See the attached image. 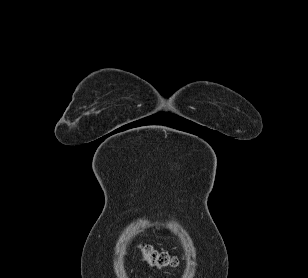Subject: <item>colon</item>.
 <instances>
[{"label": "colon", "mask_w": 308, "mask_h": 278, "mask_svg": "<svg viewBox=\"0 0 308 278\" xmlns=\"http://www.w3.org/2000/svg\"><path fill=\"white\" fill-rule=\"evenodd\" d=\"M140 252L147 263L157 268L175 266L177 263L174 256L164 251H158L150 245H141Z\"/></svg>", "instance_id": "5ec220e1"}]
</instances>
